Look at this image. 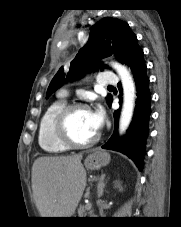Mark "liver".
Listing matches in <instances>:
<instances>
[{"label": "liver", "instance_id": "obj_1", "mask_svg": "<svg viewBox=\"0 0 181 227\" xmlns=\"http://www.w3.org/2000/svg\"><path fill=\"white\" fill-rule=\"evenodd\" d=\"M82 154L40 157L32 167V190L42 217H71L86 186Z\"/></svg>", "mask_w": 181, "mask_h": 227}]
</instances>
